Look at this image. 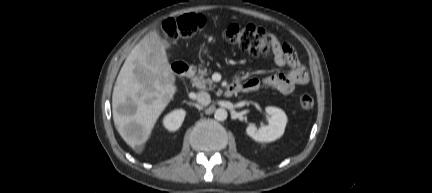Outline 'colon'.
<instances>
[{
	"mask_svg": "<svg viewBox=\"0 0 432 193\" xmlns=\"http://www.w3.org/2000/svg\"><path fill=\"white\" fill-rule=\"evenodd\" d=\"M205 26V18L199 14H187L165 20L161 29L170 40H187L197 34ZM222 37L230 45L251 55H263L272 50V36L265 30L252 24H231L223 28ZM300 107L309 110L314 106L313 95L302 93L299 98Z\"/></svg>",
	"mask_w": 432,
	"mask_h": 193,
	"instance_id": "obj_1",
	"label": "colon"
}]
</instances>
